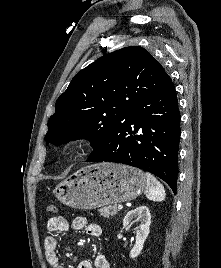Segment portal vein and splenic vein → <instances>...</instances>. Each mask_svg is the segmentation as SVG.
Segmentation results:
<instances>
[{
  "instance_id": "18ae733b",
  "label": "portal vein and splenic vein",
  "mask_w": 221,
  "mask_h": 268,
  "mask_svg": "<svg viewBox=\"0 0 221 268\" xmlns=\"http://www.w3.org/2000/svg\"><path fill=\"white\" fill-rule=\"evenodd\" d=\"M118 209L119 210L123 209V205H118Z\"/></svg>"
}]
</instances>
